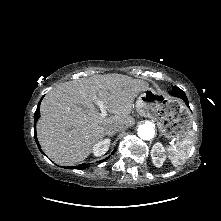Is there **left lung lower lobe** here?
<instances>
[{"label": "left lung lower lobe", "mask_w": 221, "mask_h": 221, "mask_svg": "<svg viewBox=\"0 0 221 221\" xmlns=\"http://www.w3.org/2000/svg\"><path fill=\"white\" fill-rule=\"evenodd\" d=\"M172 96H175V97H179L181 98L187 106H189V102H188V99L184 93V91H182L180 88H178L177 86H174L172 91L169 92Z\"/></svg>", "instance_id": "0a47b994"}]
</instances>
